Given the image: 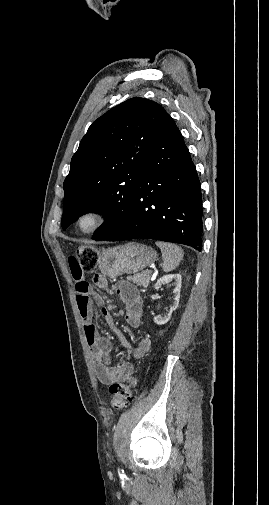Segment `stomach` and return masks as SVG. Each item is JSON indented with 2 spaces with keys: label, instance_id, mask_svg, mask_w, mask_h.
<instances>
[{
  "label": "stomach",
  "instance_id": "obj_1",
  "mask_svg": "<svg viewBox=\"0 0 269 505\" xmlns=\"http://www.w3.org/2000/svg\"><path fill=\"white\" fill-rule=\"evenodd\" d=\"M157 260V252L144 244L130 242L103 250L99 256V269L114 279L124 273H137Z\"/></svg>",
  "mask_w": 269,
  "mask_h": 505
}]
</instances>
